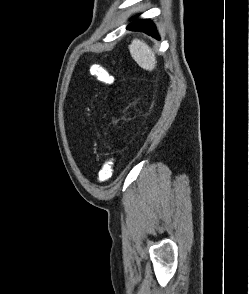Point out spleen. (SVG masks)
<instances>
[{"mask_svg": "<svg viewBox=\"0 0 249 294\" xmlns=\"http://www.w3.org/2000/svg\"><path fill=\"white\" fill-rule=\"evenodd\" d=\"M129 51L134 61L145 70H153L156 58L152 49L143 41L134 39L129 45Z\"/></svg>", "mask_w": 249, "mask_h": 294, "instance_id": "3e777b00", "label": "spleen"}]
</instances>
